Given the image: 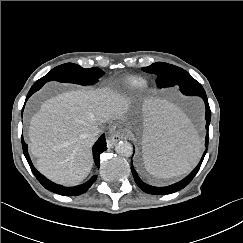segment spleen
Returning a JSON list of instances; mask_svg holds the SVG:
<instances>
[{
    "label": "spleen",
    "mask_w": 243,
    "mask_h": 243,
    "mask_svg": "<svg viewBox=\"0 0 243 243\" xmlns=\"http://www.w3.org/2000/svg\"><path fill=\"white\" fill-rule=\"evenodd\" d=\"M143 121V160L157 178L182 175L197 163L202 149L189 118L174 105L151 99L140 110Z\"/></svg>",
    "instance_id": "spleen-1"
}]
</instances>
